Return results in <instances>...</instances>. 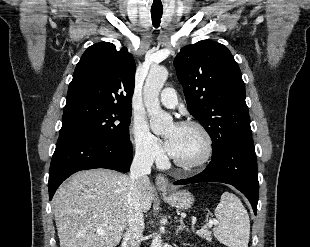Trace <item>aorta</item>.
I'll use <instances>...</instances> for the list:
<instances>
[{
	"mask_svg": "<svg viewBox=\"0 0 310 247\" xmlns=\"http://www.w3.org/2000/svg\"><path fill=\"white\" fill-rule=\"evenodd\" d=\"M168 78V70L163 67L152 68L143 89L144 104L150 119V128L156 133H163L173 125V118L161 109L159 93ZM150 247H162L160 234H155Z\"/></svg>",
	"mask_w": 310,
	"mask_h": 247,
	"instance_id": "aorta-1",
	"label": "aorta"
}]
</instances>
